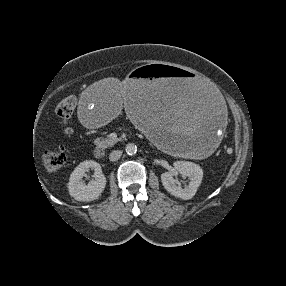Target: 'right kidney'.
Instances as JSON below:
<instances>
[{"label":"right kidney","instance_id":"ca27d5eb","mask_svg":"<svg viewBox=\"0 0 286 286\" xmlns=\"http://www.w3.org/2000/svg\"><path fill=\"white\" fill-rule=\"evenodd\" d=\"M94 170V179L88 184L81 181L89 170ZM106 186V178L99 163L93 160L81 162L71 173L68 183L69 194L77 201L97 199Z\"/></svg>","mask_w":286,"mask_h":286}]
</instances>
